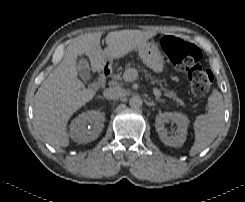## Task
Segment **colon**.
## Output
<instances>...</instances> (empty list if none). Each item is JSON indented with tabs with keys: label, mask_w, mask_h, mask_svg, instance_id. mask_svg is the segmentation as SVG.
Wrapping results in <instances>:
<instances>
[{
	"label": "colon",
	"mask_w": 245,
	"mask_h": 202,
	"mask_svg": "<svg viewBox=\"0 0 245 202\" xmlns=\"http://www.w3.org/2000/svg\"><path fill=\"white\" fill-rule=\"evenodd\" d=\"M161 45L174 68L189 72L193 94L197 97L206 94L211 87L213 75L199 64L201 50L196 45L173 35L164 36Z\"/></svg>",
	"instance_id": "5ec220e1"
}]
</instances>
